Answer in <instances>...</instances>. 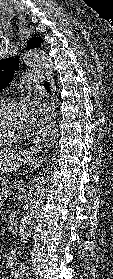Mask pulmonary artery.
Instances as JSON below:
<instances>
[{
    "label": "pulmonary artery",
    "instance_id": "e3ab8cb5",
    "mask_svg": "<svg viewBox=\"0 0 113 279\" xmlns=\"http://www.w3.org/2000/svg\"><path fill=\"white\" fill-rule=\"evenodd\" d=\"M27 77H28V82L31 84L42 82L46 78L45 75L42 73L29 74Z\"/></svg>",
    "mask_w": 113,
    "mask_h": 279
}]
</instances>
